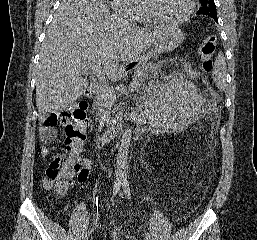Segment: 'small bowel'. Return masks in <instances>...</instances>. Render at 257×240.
I'll use <instances>...</instances> for the list:
<instances>
[{
  "label": "small bowel",
  "mask_w": 257,
  "mask_h": 240,
  "mask_svg": "<svg viewBox=\"0 0 257 240\" xmlns=\"http://www.w3.org/2000/svg\"><path fill=\"white\" fill-rule=\"evenodd\" d=\"M173 60H178V58H173ZM41 138H42V141L44 144H49L52 140H53V136H49L45 130H43L42 132V135H41ZM49 154V149L48 147H43L42 150H41V155L43 157H47ZM81 166L83 167L84 169V174L83 175H80L78 177V182L79 183H83L87 178H88V175H89V172H90V168H91V162L88 160V159H84L82 160L81 162Z\"/></svg>",
  "instance_id": "1"
}]
</instances>
